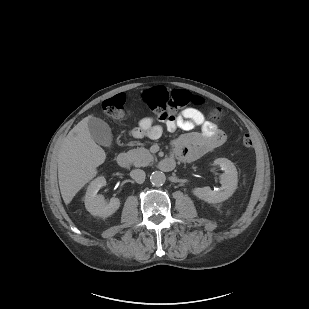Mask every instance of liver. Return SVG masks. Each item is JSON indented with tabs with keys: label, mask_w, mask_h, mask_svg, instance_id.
Here are the masks:
<instances>
[{
	"label": "liver",
	"mask_w": 309,
	"mask_h": 309,
	"mask_svg": "<svg viewBox=\"0 0 309 309\" xmlns=\"http://www.w3.org/2000/svg\"><path fill=\"white\" fill-rule=\"evenodd\" d=\"M90 118L85 117L68 133L58 154L59 187L66 205L97 175V167L106 159L105 151L91 137Z\"/></svg>",
	"instance_id": "obj_1"
}]
</instances>
